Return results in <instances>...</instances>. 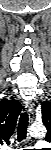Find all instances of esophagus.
I'll list each match as a JSON object with an SVG mask.
<instances>
[{
  "label": "esophagus",
  "mask_w": 51,
  "mask_h": 150,
  "mask_svg": "<svg viewBox=\"0 0 51 150\" xmlns=\"http://www.w3.org/2000/svg\"><path fill=\"white\" fill-rule=\"evenodd\" d=\"M25 109L29 115L30 121H33L34 118V107L33 104L30 101L25 102Z\"/></svg>",
  "instance_id": "esophagus-1"
}]
</instances>
